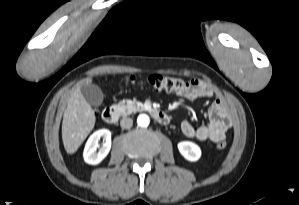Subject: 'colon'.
Segmentation results:
<instances>
[{
  "label": "colon",
  "instance_id": "obj_1",
  "mask_svg": "<svg viewBox=\"0 0 299 205\" xmlns=\"http://www.w3.org/2000/svg\"><path fill=\"white\" fill-rule=\"evenodd\" d=\"M131 82L135 83V79L131 78ZM147 85L157 91H181L188 86L189 82H186L182 78L175 76H163L159 74L151 75L146 80ZM227 146L225 140H221L217 144V148L224 149Z\"/></svg>",
  "mask_w": 299,
  "mask_h": 205
}]
</instances>
